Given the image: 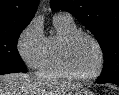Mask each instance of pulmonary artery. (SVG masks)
<instances>
[{
	"mask_svg": "<svg viewBox=\"0 0 119 95\" xmlns=\"http://www.w3.org/2000/svg\"><path fill=\"white\" fill-rule=\"evenodd\" d=\"M54 18L65 20V21H73L71 14H69L68 12H57L54 15Z\"/></svg>",
	"mask_w": 119,
	"mask_h": 95,
	"instance_id": "pulmonary-artery-1",
	"label": "pulmonary artery"
}]
</instances>
